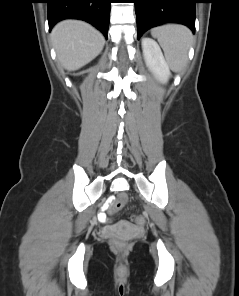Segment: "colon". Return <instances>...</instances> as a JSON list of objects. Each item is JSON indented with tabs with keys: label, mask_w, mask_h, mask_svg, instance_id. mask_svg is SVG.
Here are the masks:
<instances>
[{
	"label": "colon",
	"mask_w": 239,
	"mask_h": 296,
	"mask_svg": "<svg viewBox=\"0 0 239 296\" xmlns=\"http://www.w3.org/2000/svg\"><path fill=\"white\" fill-rule=\"evenodd\" d=\"M127 200H128V198L126 195L118 196V198L116 199V201L114 203V207L115 208H122L126 204ZM129 220L134 225H141L143 223V218L138 214H130ZM112 243H113V247L116 249L122 250V249L126 248V239L119 236V235L113 236Z\"/></svg>",
	"instance_id": "5ec220e1"
}]
</instances>
